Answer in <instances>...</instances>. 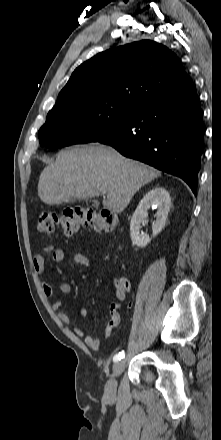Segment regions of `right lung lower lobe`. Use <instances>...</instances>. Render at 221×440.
Masks as SVG:
<instances>
[{"label":"right lung lower lobe","mask_w":221,"mask_h":440,"mask_svg":"<svg viewBox=\"0 0 221 440\" xmlns=\"http://www.w3.org/2000/svg\"><path fill=\"white\" fill-rule=\"evenodd\" d=\"M97 142L180 177L196 195L204 141L199 98L191 83L145 101Z\"/></svg>","instance_id":"1"}]
</instances>
